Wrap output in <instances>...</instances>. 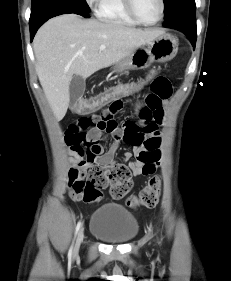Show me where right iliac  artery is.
<instances>
[{
	"label": "right iliac artery",
	"mask_w": 231,
	"mask_h": 281,
	"mask_svg": "<svg viewBox=\"0 0 231 281\" xmlns=\"http://www.w3.org/2000/svg\"><path fill=\"white\" fill-rule=\"evenodd\" d=\"M81 225H82L81 221H79V222L77 223V225H76L75 234H74V239H73V242H72L71 247H70L69 252H68V258H69V259H71V257H72V252H73V247H74V241H75V238H76V236H77V234H78V232H79V229H80Z\"/></svg>",
	"instance_id": "obj_1"
}]
</instances>
